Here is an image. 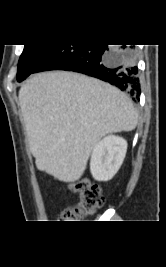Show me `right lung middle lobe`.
Listing matches in <instances>:
<instances>
[{"label": "right lung middle lobe", "mask_w": 166, "mask_h": 267, "mask_svg": "<svg viewBox=\"0 0 166 267\" xmlns=\"http://www.w3.org/2000/svg\"><path fill=\"white\" fill-rule=\"evenodd\" d=\"M56 47L55 44L25 45L18 63L17 81L21 82L33 73Z\"/></svg>", "instance_id": "dd1d6c3e"}]
</instances>
